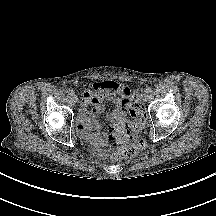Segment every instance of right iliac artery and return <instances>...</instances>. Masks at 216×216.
Wrapping results in <instances>:
<instances>
[{
  "instance_id": "obj_1",
  "label": "right iliac artery",
  "mask_w": 216,
  "mask_h": 216,
  "mask_svg": "<svg viewBox=\"0 0 216 216\" xmlns=\"http://www.w3.org/2000/svg\"><path fill=\"white\" fill-rule=\"evenodd\" d=\"M74 94H75V92H74L73 90H69V91H68V95L72 96V95H74Z\"/></svg>"
}]
</instances>
